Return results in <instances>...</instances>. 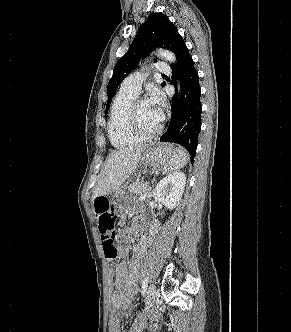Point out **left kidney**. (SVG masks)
Here are the masks:
<instances>
[{
    "instance_id": "obj_1",
    "label": "left kidney",
    "mask_w": 291,
    "mask_h": 332,
    "mask_svg": "<svg viewBox=\"0 0 291 332\" xmlns=\"http://www.w3.org/2000/svg\"><path fill=\"white\" fill-rule=\"evenodd\" d=\"M186 176L182 172L169 174L156 185L153 197L168 209H174L184 192Z\"/></svg>"
}]
</instances>
